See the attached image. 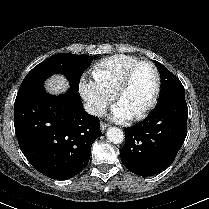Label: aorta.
<instances>
[{
    "mask_svg": "<svg viewBox=\"0 0 209 209\" xmlns=\"http://www.w3.org/2000/svg\"><path fill=\"white\" fill-rule=\"evenodd\" d=\"M106 135L107 139L114 144H120L124 140V133L117 127H110Z\"/></svg>",
    "mask_w": 209,
    "mask_h": 209,
    "instance_id": "762f6f07",
    "label": "aorta"
}]
</instances>
